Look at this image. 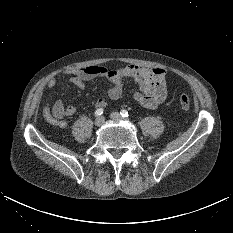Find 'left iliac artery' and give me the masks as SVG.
Here are the masks:
<instances>
[{"label":"left iliac artery","mask_w":233,"mask_h":233,"mask_svg":"<svg viewBox=\"0 0 233 233\" xmlns=\"http://www.w3.org/2000/svg\"><path fill=\"white\" fill-rule=\"evenodd\" d=\"M120 114L122 115V117H128V112L125 109L121 110Z\"/></svg>","instance_id":"1"}]
</instances>
